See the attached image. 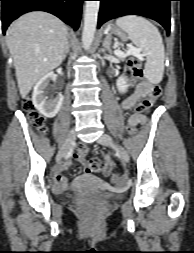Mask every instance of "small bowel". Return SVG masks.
Returning a JSON list of instances; mask_svg holds the SVG:
<instances>
[{"label": "small bowel", "instance_id": "small-bowel-1", "mask_svg": "<svg viewBox=\"0 0 194 253\" xmlns=\"http://www.w3.org/2000/svg\"><path fill=\"white\" fill-rule=\"evenodd\" d=\"M153 88H154L153 84L149 81H142V82L137 83L135 85L134 92L126 96L122 100L121 102L122 108L126 111L132 109L137 102L148 97L151 94ZM145 122H146V117L143 114L134 113L128 118V124L134 127L140 124H144ZM70 165H71V161L66 160L57 169H55L52 172L51 180L53 182L54 188L57 191H63L66 189L67 179L64 173L69 168ZM112 167H113V164H112L111 159L109 157H106V162L103 169V173L105 176H108L111 173Z\"/></svg>", "mask_w": 194, "mask_h": 253}]
</instances>
